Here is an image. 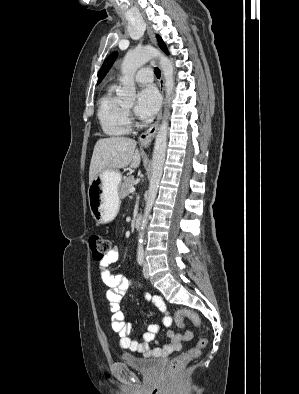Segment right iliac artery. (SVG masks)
<instances>
[{
  "label": "right iliac artery",
  "mask_w": 299,
  "mask_h": 394,
  "mask_svg": "<svg viewBox=\"0 0 299 394\" xmlns=\"http://www.w3.org/2000/svg\"><path fill=\"white\" fill-rule=\"evenodd\" d=\"M137 261H138V264L140 266H142L144 264V257L143 256L138 257Z\"/></svg>",
  "instance_id": "1"
}]
</instances>
